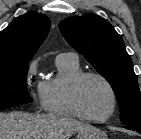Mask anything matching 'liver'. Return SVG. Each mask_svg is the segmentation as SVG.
I'll return each mask as SVG.
<instances>
[{
  "label": "liver",
  "instance_id": "liver-1",
  "mask_svg": "<svg viewBox=\"0 0 141 139\" xmlns=\"http://www.w3.org/2000/svg\"><path fill=\"white\" fill-rule=\"evenodd\" d=\"M88 126L62 114L0 113V139H69Z\"/></svg>",
  "mask_w": 141,
  "mask_h": 139
}]
</instances>
